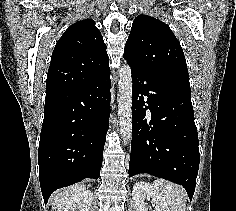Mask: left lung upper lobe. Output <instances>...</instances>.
Wrapping results in <instances>:
<instances>
[{
	"label": "left lung upper lobe",
	"instance_id": "left-lung-upper-lobe-1",
	"mask_svg": "<svg viewBox=\"0 0 236 211\" xmlns=\"http://www.w3.org/2000/svg\"><path fill=\"white\" fill-rule=\"evenodd\" d=\"M124 59L133 68L142 69L174 86L190 92L185 56L168 25L148 16L133 21Z\"/></svg>",
	"mask_w": 236,
	"mask_h": 211
}]
</instances>
